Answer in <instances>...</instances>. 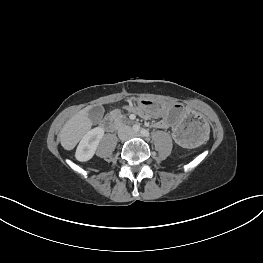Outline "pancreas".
Returning a JSON list of instances; mask_svg holds the SVG:
<instances>
[{
  "label": "pancreas",
  "instance_id": "1",
  "mask_svg": "<svg viewBox=\"0 0 263 263\" xmlns=\"http://www.w3.org/2000/svg\"><path fill=\"white\" fill-rule=\"evenodd\" d=\"M123 119H125V117H118V121H121V120H123Z\"/></svg>",
  "mask_w": 263,
  "mask_h": 263
}]
</instances>
